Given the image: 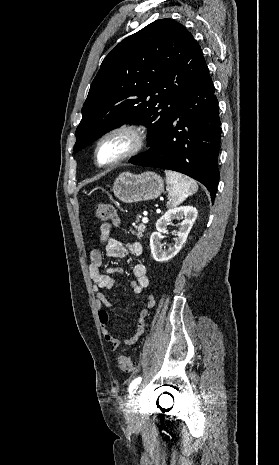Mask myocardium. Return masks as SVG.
<instances>
[{
	"mask_svg": "<svg viewBox=\"0 0 279 465\" xmlns=\"http://www.w3.org/2000/svg\"><path fill=\"white\" fill-rule=\"evenodd\" d=\"M117 133H127V134H129L133 139L132 146L130 147V149L127 152H125L120 157H118V158H116V159H114L112 161H109V162H101L100 158H99V150H100V147H101L102 143L108 137H110V136H112L114 134H117ZM148 139H149L148 130L142 124H139V123H124V124L117 125L115 127L110 128L106 132H104L100 136V138L98 139V141L96 143V146H95V150H94L95 160H96L98 165L103 166V167L116 165L118 163H121V162L133 157L134 155H136L140 151H142L146 147V145L148 143Z\"/></svg>",
	"mask_w": 279,
	"mask_h": 465,
	"instance_id": "myocardium-1",
	"label": "myocardium"
}]
</instances>
